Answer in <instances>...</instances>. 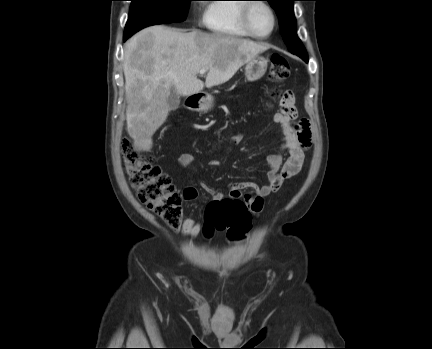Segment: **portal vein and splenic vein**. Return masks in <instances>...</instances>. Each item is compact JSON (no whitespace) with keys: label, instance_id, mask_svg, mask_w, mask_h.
<instances>
[{"label":"portal vein and splenic vein","instance_id":"obj_1","mask_svg":"<svg viewBox=\"0 0 432 349\" xmlns=\"http://www.w3.org/2000/svg\"><path fill=\"white\" fill-rule=\"evenodd\" d=\"M205 72H206V70L205 69H201L200 71H199V74L202 76V75H204L205 74Z\"/></svg>","mask_w":432,"mask_h":349}]
</instances>
